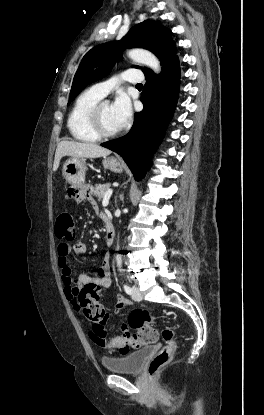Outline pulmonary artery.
Returning a JSON list of instances; mask_svg holds the SVG:
<instances>
[{"label": "pulmonary artery", "instance_id": "e3ab8cb5", "mask_svg": "<svg viewBox=\"0 0 264 415\" xmlns=\"http://www.w3.org/2000/svg\"><path fill=\"white\" fill-rule=\"evenodd\" d=\"M144 79L142 73L122 72L120 75L104 82L93 85L90 90L101 98L108 95L111 91L118 88L122 81H128L132 84L141 83Z\"/></svg>", "mask_w": 264, "mask_h": 415}]
</instances>
